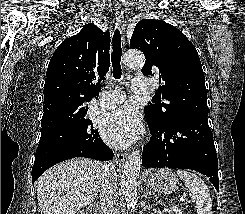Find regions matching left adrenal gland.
<instances>
[{
	"label": "left adrenal gland",
	"mask_w": 245,
	"mask_h": 214,
	"mask_svg": "<svg viewBox=\"0 0 245 214\" xmlns=\"http://www.w3.org/2000/svg\"><path fill=\"white\" fill-rule=\"evenodd\" d=\"M150 194H152L153 197H154L155 199L158 198V196H157L153 191H151V190L149 189V186L147 185V186H146V192H145V195H150Z\"/></svg>",
	"instance_id": "a2214340"
}]
</instances>
